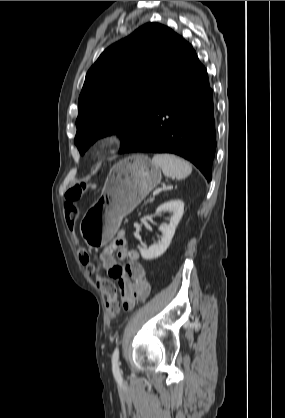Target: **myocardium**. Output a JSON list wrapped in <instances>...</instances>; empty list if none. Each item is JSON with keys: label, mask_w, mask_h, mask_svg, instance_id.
<instances>
[{"label": "myocardium", "mask_w": 285, "mask_h": 418, "mask_svg": "<svg viewBox=\"0 0 285 418\" xmlns=\"http://www.w3.org/2000/svg\"><path fill=\"white\" fill-rule=\"evenodd\" d=\"M119 143V137L115 133H104L99 135L92 144L95 156L104 157L113 151Z\"/></svg>", "instance_id": "myocardium-1"}]
</instances>
